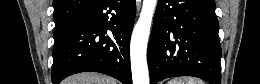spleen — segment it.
<instances>
[{"mask_svg":"<svg viewBox=\"0 0 260 84\" xmlns=\"http://www.w3.org/2000/svg\"><path fill=\"white\" fill-rule=\"evenodd\" d=\"M168 84H205L203 80L195 77L174 78Z\"/></svg>","mask_w":260,"mask_h":84,"instance_id":"obj_1","label":"spleen"}]
</instances>
